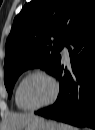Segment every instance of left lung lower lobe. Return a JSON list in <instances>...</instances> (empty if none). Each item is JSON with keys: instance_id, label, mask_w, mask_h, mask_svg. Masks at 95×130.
Returning <instances> with one entry per match:
<instances>
[{"instance_id": "1", "label": "left lung lower lobe", "mask_w": 95, "mask_h": 130, "mask_svg": "<svg viewBox=\"0 0 95 130\" xmlns=\"http://www.w3.org/2000/svg\"><path fill=\"white\" fill-rule=\"evenodd\" d=\"M67 46L70 66L64 68L61 60L53 74L60 81L58 98L54 105L36 114L78 127L95 128V13L82 21Z\"/></svg>"}]
</instances>
